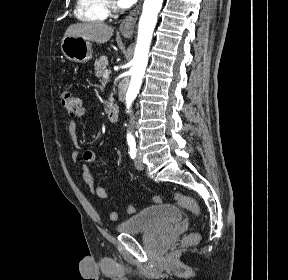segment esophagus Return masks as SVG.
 <instances>
[{
	"instance_id": "1",
	"label": "esophagus",
	"mask_w": 288,
	"mask_h": 280,
	"mask_svg": "<svg viewBox=\"0 0 288 280\" xmlns=\"http://www.w3.org/2000/svg\"><path fill=\"white\" fill-rule=\"evenodd\" d=\"M141 2L122 20L119 31L126 37L130 38L133 34L134 26L140 13Z\"/></svg>"
}]
</instances>
